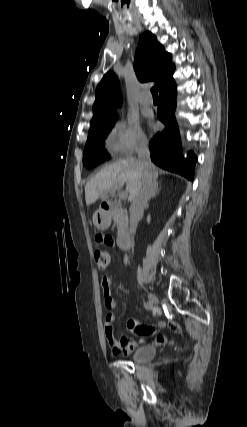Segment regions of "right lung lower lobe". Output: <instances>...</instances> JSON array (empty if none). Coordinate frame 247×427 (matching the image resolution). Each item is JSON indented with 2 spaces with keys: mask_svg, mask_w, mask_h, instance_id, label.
Segmentation results:
<instances>
[{
  "mask_svg": "<svg viewBox=\"0 0 247 427\" xmlns=\"http://www.w3.org/2000/svg\"><path fill=\"white\" fill-rule=\"evenodd\" d=\"M175 81L172 79L159 91L157 116L165 125L150 141L151 160L159 167L177 172L187 179L193 180L196 157L192 152L183 158L180 150L177 123L174 117L176 108Z\"/></svg>",
  "mask_w": 247,
  "mask_h": 427,
  "instance_id": "1",
  "label": "right lung lower lobe"
}]
</instances>
